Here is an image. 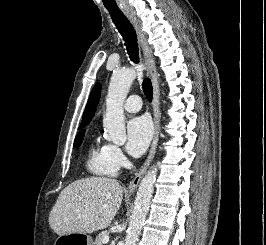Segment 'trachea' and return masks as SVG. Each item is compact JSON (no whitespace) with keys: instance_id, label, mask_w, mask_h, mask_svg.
<instances>
[{"instance_id":"3493384b","label":"trachea","mask_w":266,"mask_h":245,"mask_svg":"<svg viewBox=\"0 0 266 245\" xmlns=\"http://www.w3.org/2000/svg\"><path fill=\"white\" fill-rule=\"evenodd\" d=\"M110 15L125 41V45L131 60L134 61V63H139L137 38L135 30L132 27L131 23H129V20L125 17L123 13L110 12ZM142 86L144 95L146 96L147 100L151 102L153 97V87L148 77L145 76L143 78Z\"/></svg>"}]
</instances>
